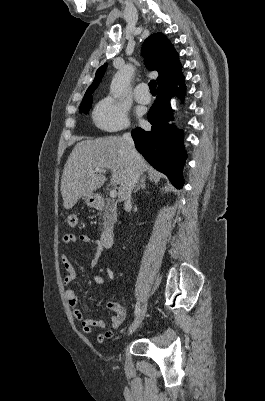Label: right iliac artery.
Here are the masks:
<instances>
[{
    "label": "right iliac artery",
    "mask_w": 265,
    "mask_h": 401,
    "mask_svg": "<svg viewBox=\"0 0 265 401\" xmlns=\"http://www.w3.org/2000/svg\"><path fill=\"white\" fill-rule=\"evenodd\" d=\"M139 311H140V303L137 302V303H136V306H135V316L138 315Z\"/></svg>",
    "instance_id": "right-iliac-artery-1"
}]
</instances>
